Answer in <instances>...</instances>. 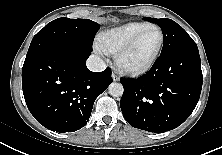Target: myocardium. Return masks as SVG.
<instances>
[{
    "instance_id": "myocardium-1",
    "label": "myocardium",
    "mask_w": 222,
    "mask_h": 155,
    "mask_svg": "<svg viewBox=\"0 0 222 155\" xmlns=\"http://www.w3.org/2000/svg\"><path fill=\"white\" fill-rule=\"evenodd\" d=\"M157 30L160 34V43L159 46L154 54V56L151 58V60L144 66L142 67H138V68H131V67H127L126 65H124L123 63V59L124 57L136 46V44L139 42V40L150 30ZM164 33L161 30V28L157 25H152L146 29H144L143 31H141L140 33H138L135 37H133L127 44H125L115 55V62L117 67L124 73L128 74V75H132V76H140L143 75L145 73H147L148 71H150L153 66L156 64V62L158 61L162 50H163V46H164Z\"/></svg>"
}]
</instances>
